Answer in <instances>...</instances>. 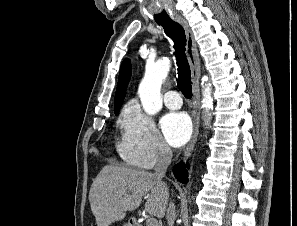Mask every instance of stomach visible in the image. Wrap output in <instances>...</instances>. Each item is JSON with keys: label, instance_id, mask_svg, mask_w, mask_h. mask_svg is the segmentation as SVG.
I'll use <instances>...</instances> for the list:
<instances>
[{"label": "stomach", "instance_id": "obj_1", "mask_svg": "<svg viewBox=\"0 0 297 226\" xmlns=\"http://www.w3.org/2000/svg\"><path fill=\"white\" fill-rule=\"evenodd\" d=\"M124 226H130L129 224H125Z\"/></svg>", "mask_w": 297, "mask_h": 226}]
</instances>
